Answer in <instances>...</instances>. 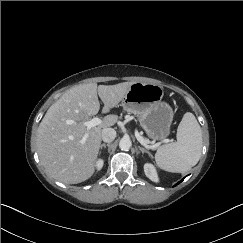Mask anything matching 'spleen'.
<instances>
[{
    "mask_svg": "<svg viewBox=\"0 0 243 243\" xmlns=\"http://www.w3.org/2000/svg\"><path fill=\"white\" fill-rule=\"evenodd\" d=\"M202 152V133L195 116L184 114L178 129L177 141L160 146L155 154L159 168L173 173H186L195 166Z\"/></svg>",
    "mask_w": 243,
    "mask_h": 243,
    "instance_id": "spleen-1",
    "label": "spleen"
}]
</instances>
